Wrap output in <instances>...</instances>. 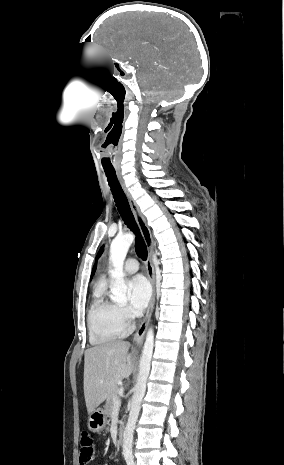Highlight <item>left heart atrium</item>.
<instances>
[{
    "label": "left heart atrium",
    "mask_w": 284,
    "mask_h": 465,
    "mask_svg": "<svg viewBox=\"0 0 284 465\" xmlns=\"http://www.w3.org/2000/svg\"><path fill=\"white\" fill-rule=\"evenodd\" d=\"M130 302L129 309L132 313L142 312L148 305L151 290L148 281L142 275H137L129 280Z\"/></svg>",
    "instance_id": "left-heart-atrium-1"
}]
</instances>
